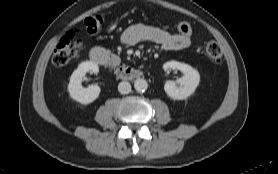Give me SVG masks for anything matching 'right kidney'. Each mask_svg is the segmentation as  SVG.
<instances>
[{
	"label": "right kidney",
	"mask_w": 278,
	"mask_h": 174,
	"mask_svg": "<svg viewBox=\"0 0 278 174\" xmlns=\"http://www.w3.org/2000/svg\"><path fill=\"white\" fill-rule=\"evenodd\" d=\"M99 67L95 62L85 61L82 62L70 77L68 84V91L70 97L81 104H89L95 101L100 94V87L97 85H91L87 88L82 86V78L87 72L97 74Z\"/></svg>",
	"instance_id": "ca27d5eb"
}]
</instances>
